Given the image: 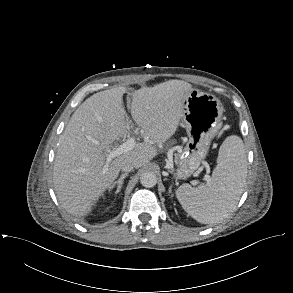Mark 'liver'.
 I'll list each match as a JSON object with an SVG mask.
<instances>
[{
    "mask_svg": "<svg viewBox=\"0 0 293 293\" xmlns=\"http://www.w3.org/2000/svg\"><path fill=\"white\" fill-rule=\"evenodd\" d=\"M191 89L185 81L169 80L134 91L131 115L144 142L117 156L105 171V150L130 131L123 107L126 88L115 87L86 99L59 138L53 184L61 206L72 216L85 217L111 187L125 160L135 168L147 165L156 156V147L175 134L184 115L183 99Z\"/></svg>",
    "mask_w": 293,
    "mask_h": 293,
    "instance_id": "obj_1",
    "label": "liver"
}]
</instances>
